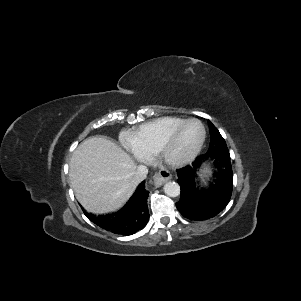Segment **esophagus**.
I'll list each match as a JSON object with an SVG mask.
<instances>
[{
	"instance_id": "obj_1",
	"label": "esophagus",
	"mask_w": 301,
	"mask_h": 301,
	"mask_svg": "<svg viewBox=\"0 0 301 301\" xmlns=\"http://www.w3.org/2000/svg\"><path fill=\"white\" fill-rule=\"evenodd\" d=\"M171 178L172 174L168 170L162 169L154 175V185L160 187Z\"/></svg>"
}]
</instances>
